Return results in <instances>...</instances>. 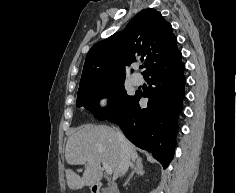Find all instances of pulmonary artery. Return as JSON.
Instances as JSON below:
<instances>
[{
    "instance_id": "pulmonary-artery-1",
    "label": "pulmonary artery",
    "mask_w": 237,
    "mask_h": 193,
    "mask_svg": "<svg viewBox=\"0 0 237 193\" xmlns=\"http://www.w3.org/2000/svg\"><path fill=\"white\" fill-rule=\"evenodd\" d=\"M130 79H131V82H132L134 85H141L142 82H143V78H142V76L139 75V74H133V75H131Z\"/></svg>"
}]
</instances>
